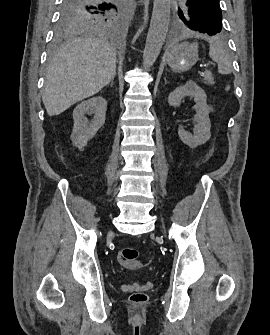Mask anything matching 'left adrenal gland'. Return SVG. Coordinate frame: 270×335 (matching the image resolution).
Returning <instances> with one entry per match:
<instances>
[{
    "instance_id": "a2214340",
    "label": "left adrenal gland",
    "mask_w": 270,
    "mask_h": 335,
    "mask_svg": "<svg viewBox=\"0 0 270 335\" xmlns=\"http://www.w3.org/2000/svg\"><path fill=\"white\" fill-rule=\"evenodd\" d=\"M164 84H167V80H166V78H164Z\"/></svg>"
}]
</instances>
